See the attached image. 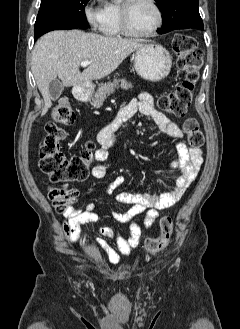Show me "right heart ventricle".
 Returning <instances> with one entry per match:
<instances>
[{
  "label": "right heart ventricle",
  "instance_id": "obj_1",
  "mask_svg": "<svg viewBox=\"0 0 240 329\" xmlns=\"http://www.w3.org/2000/svg\"><path fill=\"white\" fill-rule=\"evenodd\" d=\"M120 4L119 2H106L103 7V20L100 25V31L106 37L123 36L120 23Z\"/></svg>",
  "mask_w": 240,
  "mask_h": 329
}]
</instances>
